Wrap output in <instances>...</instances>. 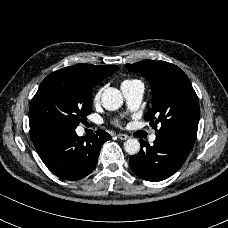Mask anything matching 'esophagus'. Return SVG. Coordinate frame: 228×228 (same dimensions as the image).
<instances>
[{"instance_id": "34e87169", "label": "esophagus", "mask_w": 228, "mask_h": 228, "mask_svg": "<svg viewBox=\"0 0 228 228\" xmlns=\"http://www.w3.org/2000/svg\"><path fill=\"white\" fill-rule=\"evenodd\" d=\"M117 137H118L120 140H126V139L129 138L128 135L123 134V133H119V134L117 135Z\"/></svg>"}]
</instances>
